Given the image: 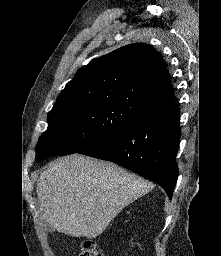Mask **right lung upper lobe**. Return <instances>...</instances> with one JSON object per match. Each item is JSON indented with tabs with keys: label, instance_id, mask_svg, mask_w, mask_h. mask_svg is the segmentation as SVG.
Here are the masks:
<instances>
[{
	"label": "right lung upper lobe",
	"instance_id": "right-lung-upper-lobe-1",
	"mask_svg": "<svg viewBox=\"0 0 221 256\" xmlns=\"http://www.w3.org/2000/svg\"><path fill=\"white\" fill-rule=\"evenodd\" d=\"M112 104L146 118L177 108L162 56L135 43L93 59L59 94L51 112Z\"/></svg>",
	"mask_w": 221,
	"mask_h": 256
}]
</instances>
